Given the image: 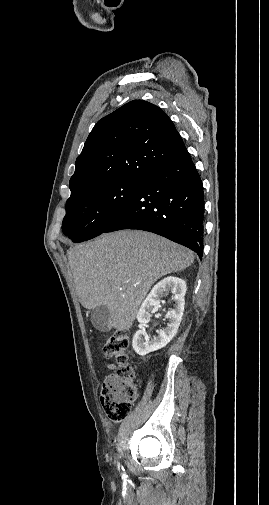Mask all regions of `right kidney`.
I'll list each match as a JSON object with an SVG mask.
<instances>
[{"mask_svg":"<svg viewBox=\"0 0 269 505\" xmlns=\"http://www.w3.org/2000/svg\"><path fill=\"white\" fill-rule=\"evenodd\" d=\"M186 290L185 281L173 276L164 278L152 288L137 313V320L140 324L145 325L150 321L152 313L161 307L160 301L165 294L171 292L175 304L174 308L168 311L165 316L168 320L167 326L160 330L157 336L149 338L144 328L135 333L132 346L137 354L145 356L165 347L173 339L182 320Z\"/></svg>","mask_w":269,"mask_h":505,"instance_id":"ca27d5eb","label":"right kidney"}]
</instances>
